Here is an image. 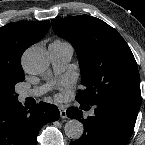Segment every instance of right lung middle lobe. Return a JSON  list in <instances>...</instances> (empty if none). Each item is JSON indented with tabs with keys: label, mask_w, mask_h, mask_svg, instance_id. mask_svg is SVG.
<instances>
[{
	"label": "right lung middle lobe",
	"mask_w": 145,
	"mask_h": 145,
	"mask_svg": "<svg viewBox=\"0 0 145 145\" xmlns=\"http://www.w3.org/2000/svg\"><path fill=\"white\" fill-rule=\"evenodd\" d=\"M16 100H18V94L15 93V84L12 85L7 90L0 91V102H2V101H16Z\"/></svg>",
	"instance_id": "obj_1"
}]
</instances>
